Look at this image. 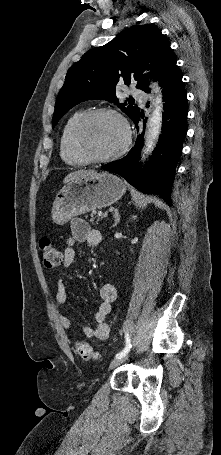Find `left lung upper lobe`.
Returning a JSON list of instances; mask_svg holds the SVG:
<instances>
[{"label": "left lung upper lobe", "instance_id": "left-lung-upper-lobe-1", "mask_svg": "<svg viewBox=\"0 0 221 455\" xmlns=\"http://www.w3.org/2000/svg\"><path fill=\"white\" fill-rule=\"evenodd\" d=\"M175 63L176 55L157 27L137 25L123 31L104 46L86 52L70 67L56 100L52 126L69 109L90 99L113 102L133 120L140 110L130 102H118L117 85L137 81L136 88L148 92L142 72L151 70L152 77L159 81Z\"/></svg>", "mask_w": 221, "mask_h": 455}]
</instances>
